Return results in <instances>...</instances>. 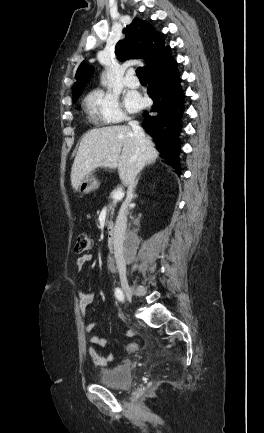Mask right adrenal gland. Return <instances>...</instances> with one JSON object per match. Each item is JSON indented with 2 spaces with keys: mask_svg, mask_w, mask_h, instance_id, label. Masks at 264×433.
<instances>
[{
  "mask_svg": "<svg viewBox=\"0 0 264 433\" xmlns=\"http://www.w3.org/2000/svg\"><path fill=\"white\" fill-rule=\"evenodd\" d=\"M138 181H139V177H138V178L136 179V181H135V187L137 186Z\"/></svg>",
  "mask_w": 264,
  "mask_h": 433,
  "instance_id": "right-adrenal-gland-1",
  "label": "right adrenal gland"
}]
</instances>
